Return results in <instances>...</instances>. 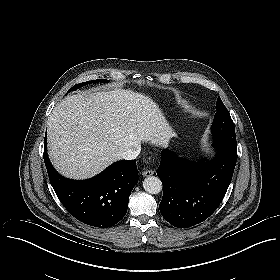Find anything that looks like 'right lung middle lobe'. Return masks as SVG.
Instances as JSON below:
<instances>
[{
    "instance_id": "1",
    "label": "right lung middle lobe",
    "mask_w": 280,
    "mask_h": 280,
    "mask_svg": "<svg viewBox=\"0 0 280 280\" xmlns=\"http://www.w3.org/2000/svg\"><path fill=\"white\" fill-rule=\"evenodd\" d=\"M106 83V82H109V80H106V79H97V80H93V81H88V82H83V83H80V84H77L75 85L74 87H72L68 92L70 91H73V90H76L77 88L81 87V86H84L86 84H89V83Z\"/></svg>"
}]
</instances>
